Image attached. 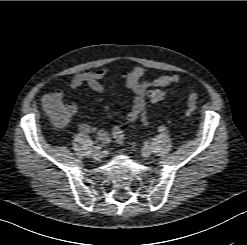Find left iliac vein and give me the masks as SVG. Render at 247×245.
I'll use <instances>...</instances> for the list:
<instances>
[{
  "mask_svg": "<svg viewBox=\"0 0 247 245\" xmlns=\"http://www.w3.org/2000/svg\"><path fill=\"white\" fill-rule=\"evenodd\" d=\"M151 153H152V151H151V148L150 147H143L142 150H141V154L145 158L150 157L151 156Z\"/></svg>",
  "mask_w": 247,
  "mask_h": 245,
  "instance_id": "1",
  "label": "left iliac vein"
}]
</instances>
